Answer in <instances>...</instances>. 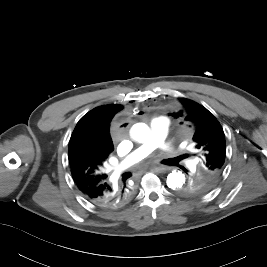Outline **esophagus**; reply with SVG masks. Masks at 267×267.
Wrapping results in <instances>:
<instances>
[{
  "mask_svg": "<svg viewBox=\"0 0 267 267\" xmlns=\"http://www.w3.org/2000/svg\"><path fill=\"white\" fill-rule=\"evenodd\" d=\"M167 169L168 168L165 166H153L151 168L152 171L157 172V173H163V172L167 171Z\"/></svg>",
  "mask_w": 267,
  "mask_h": 267,
  "instance_id": "1",
  "label": "esophagus"
}]
</instances>
